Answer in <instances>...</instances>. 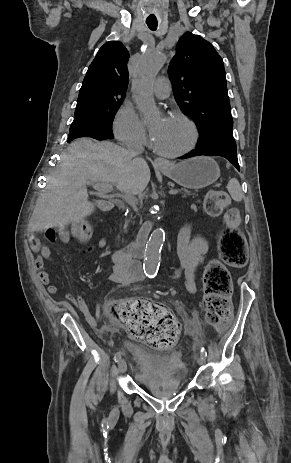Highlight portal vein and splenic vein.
Segmentation results:
<instances>
[{
	"label": "portal vein and splenic vein",
	"instance_id": "obj_1",
	"mask_svg": "<svg viewBox=\"0 0 291 463\" xmlns=\"http://www.w3.org/2000/svg\"><path fill=\"white\" fill-rule=\"evenodd\" d=\"M93 185V187L98 190L99 192L103 193V194H109L111 192H113V185L112 184H109V183H105V182H95V183H91ZM179 192V190L177 189H170L169 190V194H177ZM120 197H123L124 199H126L128 201L129 204H136V198L131 196V195H122V194H119Z\"/></svg>",
	"mask_w": 291,
	"mask_h": 463
}]
</instances>
